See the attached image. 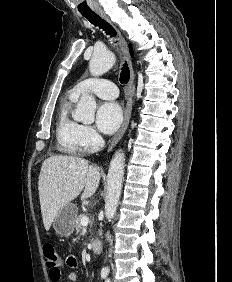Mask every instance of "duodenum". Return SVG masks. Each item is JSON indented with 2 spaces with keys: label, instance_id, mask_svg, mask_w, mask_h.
<instances>
[{
  "label": "duodenum",
  "instance_id": "obj_1",
  "mask_svg": "<svg viewBox=\"0 0 232 282\" xmlns=\"http://www.w3.org/2000/svg\"><path fill=\"white\" fill-rule=\"evenodd\" d=\"M91 249L95 254H100L102 251V243L98 239H94L91 242Z\"/></svg>",
  "mask_w": 232,
  "mask_h": 282
}]
</instances>
